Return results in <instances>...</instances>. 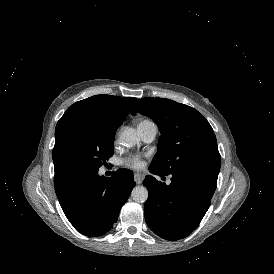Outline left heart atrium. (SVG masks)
Masks as SVG:
<instances>
[{"mask_svg": "<svg viewBox=\"0 0 274 274\" xmlns=\"http://www.w3.org/2000/svg\"><path fill=\"white\" fill-rule=\"evenodd\" d=\"M125 164L129 167L138 169L143 165V161L140 156H132L125 160Z\"/></svg>", "mask_w": 274, "mask_h": 274, "instance_id": "obj_1", "label": "left heart atrium"}]
</instances>
